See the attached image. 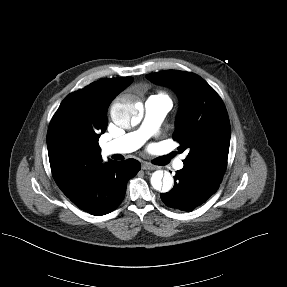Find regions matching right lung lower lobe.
Returning <instances> with one entry per match:
<instances>
[{
    "label": "right lung lower lobe",
    "instance_id": "obj_1",
    "mask_svg": "<svg viewBox=\"0 0 287 287\" xmlns=\"http://www.w3.org/2000/svg\"><path fill=\"white\" fill-rule=\"evenodd\" d=\"M140 167L135 159L100 162L68 198L85 212L105 215L122 202L128 180L137 174Z\"/></svg>",
    "mask_w": 287,
    "mask_h": 287
}]
</instances>
